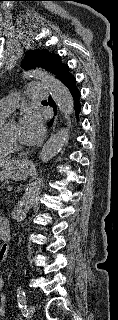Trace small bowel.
I'll list each match as a JSON object with an SVG mask.
<instances>
[{"label":"small bowel","instance_id":"obj_1","mask_svg":"<svg viewBox=\"0 0 118 320\" xmlns=\"http://www.w3.org/2000/svg\"><path fill=\"white\" fill-rule=\"evenodd\" d=\"M0 251H5V249H1ZM3 286H4V280L0 277V316H4L6 313V308H5L6 297L2 293Z\"/></svg>","mask_w":118,"mask_h":320}]
</instances>
